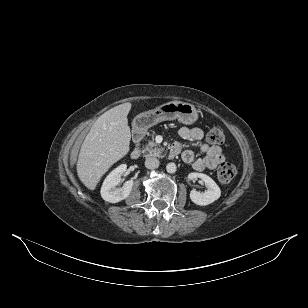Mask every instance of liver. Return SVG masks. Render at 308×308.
Listing matches in <instances>:
<instances>
[{"label":"liver","mask_w":308,"mask_h":308,"mask_svg":"<svg viewBox=\"0 0 308 308\" xmlns=\"http://www.w3.org/2000/svg\"><path fill=\"white\" fill-rule=\"evenodd\" d=\"M131 103L115 106L99 116L86 135L79 152L77 174L94 190L108 169L129 152L131 139L127 115Z\"/></svg>","instance_id":"liver-1"}]
</instances>
